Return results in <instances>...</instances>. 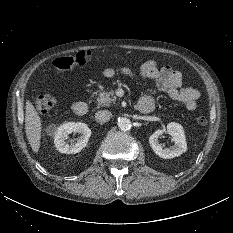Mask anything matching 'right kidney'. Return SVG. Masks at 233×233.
<instances>
[{"instance_id": "right-kidney-1", "label": "right kidney", "mask_w": 233, "mask_h": 233, "mask_svg": "<svg viewBox=\"0 0 233 233\" xmlns=\"http://www.w3.org/2000/svg\"><path fill=\"white\" fill-rule=\"evenodd\" d=\"M48 132L54 135V143L57 150L65 154H75L80 152L86 145L91 136V130L85 123L81 122H68L60 125L57 129L55 126H49ZM79 133L80 137L77 138V142L68 144L69 134Z\"/></svg>"}]
</instances>
